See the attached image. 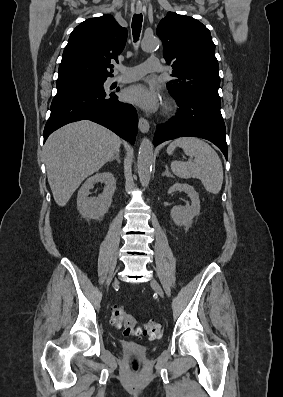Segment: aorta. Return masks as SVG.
Returning a JSON list of instances; mask_svg holds the SVG:
<instances>
[{
    "mask_svg": "<svg viewBox=\"0 0 283 397\" xmlns=\"http://www.w3.org/2000/svg\"><path fill=\"white\" fill-rule=\"evenodd\" d=\"M159 45L156 37H147L142 41V49L145 51L154 50ZM153 162V145L148 138H144L140 144L137 167L140 183L143 187H147L151 177V169Z\"/></svg>",
    "mask_w": 283,
    "mask_h": 397,
    "instance_id": "aorta-1",
    "label": "aorta"
}]
</instances>
